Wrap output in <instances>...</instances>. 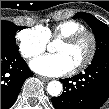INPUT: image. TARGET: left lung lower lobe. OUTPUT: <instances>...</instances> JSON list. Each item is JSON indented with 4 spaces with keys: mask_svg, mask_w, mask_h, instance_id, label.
<instances>
[{
    "mask_svg": "<svg viewBox=\"0 0 109 109\" xmlns=\"http://www.w3.org/2000/svg\"><path fill=\"white\" fill-rule=\"evenodd\" d=\"M60 81L64 91L52 98L55 109H99L109 98V52L94 56L85 72ZM75 88L80 95L70 99L68 94Z\"/></svg>",
    "mask_w": 109,
    "mask_h": 109,
    "instance_id": "1",
    "label": "left lung lower lobe"
}]
</instances>
